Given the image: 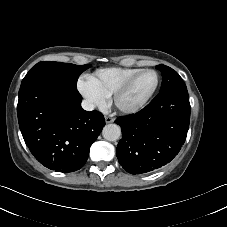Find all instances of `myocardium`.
<instances>
[{
    "label": "myocardium",
    "instance_id": "obj_1",
    "mask_svg": "<svg viewBox=\"0 0 227 227\" xmlns=\"http://www.w3.org/2000/svg\"><path fill=\"white\" fill-rule=\"evenodd\" d=\"M152 72L156 76V82L150 93L146 96L144 100H142L139 104L133 107H122L119 104V99L130 89L131 85L135 81V79L143 73ZM160 83V77L157 71L154 69H141L134 75H132L129 79H127L122 85H120L112 94V101L114 106L121 112L126 114H133L137 113L142 110L153 98L154 94L156 93Z\"/></svg>",
    "mask_w": 227,
    "mask_h": 227
}]
</instances>
